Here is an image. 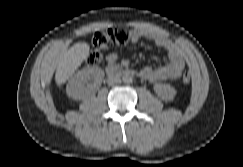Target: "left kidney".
<instances>
[{"label":"left kidney","mask_w":243,"mask_h":167,"mask_svg":"<svg viewBox=\"0 0 243 167\" xmlns=\"http://www.w3.org/2000/svg\"><path fill=\"white\" fill-rule=\"evenodd\" d=\"M154 91L164 101H172L176 96V90L169 84H155Z\"/></svg>","instance_id":"5707ae66"}]
</instances>
